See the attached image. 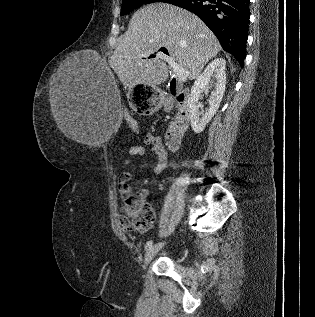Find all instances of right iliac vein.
I'll return each mask as SVG.
<instances>
[{
    "instance_id": "63e3f726",
    "label": "right iliac vein",
    "mask_w": 315,
    "mask_h": 317,
    "mask_svg": "<svg viewBox=\"0 0 315 317\" xmlns=\"http://www.w3.org/2000/svg\"><path fill=\"white\" fill-rule=\"evenodd\" d=\"M164 243H158L147 249L144 257V266H147L156 253L163 247Z\"/></svg>"
}]
</instances>
